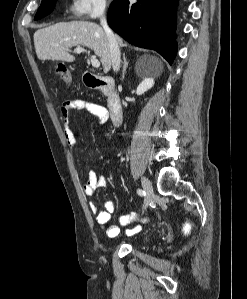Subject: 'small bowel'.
I'll return each instance as SVG.
<instances>
[{"mask_svg":"<svg viewBox=\"0 0 247 299\" xmlns=\"http://www.w3.org/2000/svg\"><path fill=\"white\" fill-rule=\"evenodd\" d=\"M73 110H83L91 115L95 116L100 122H104L108 118V111L107 109L97 103L82 100V99H75V100H67L64 101L61 106V119L63 122L64 128V136L66 141L72 146H76V137L69 126V115L70 112ZM107 186V179L102 176L98 175L94 170H88L87 180L83 184V192L87 196H91L97 188L106 187ZM89 209L95 217L96 223L103 228L106 235L109 237H116L120 233L119 225H126L131 221L138 218V214L136 212H131L126 215H122L118 219V224H111L110 219L115 210V203L113 200H106L104 202V209L99 210L97 205L93 202L89 204ZM144 221H147L145 219ZM141 229L139 225L135 226L132 229L127 230L128 235H132L138 232Z\"/></svg>","mask_w":247,"mask_h":299,"instance_id":"c3829d8e","label":"small bowel"}]
</instances>
